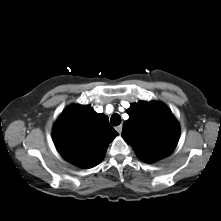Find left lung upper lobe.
<instances>
[{
    "label": "left lung upper lobe",
    "instance_id": "1",
    "mask_svg": "<svg viewBox=\"0 0 221 221\" xmlns=\"http://www.w3.org/2000/svg\"><path fill=\"white\" fill-rule=\"evenodd\" d=\"M129 119L124 122L122 137L137 157L147 163L168 156L179 139V124L170 109L160 102L131 104Z\"/></svg>",
    "mask_w": 221,
    "mask_h": 221
}]
</instances>
